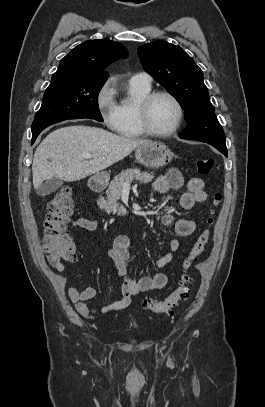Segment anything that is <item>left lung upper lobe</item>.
<instances>
[{
    "label": "left lung upper lobe",
    "instance_id": "1",
    "mask_svg": "<svg viewBox=\"0 0 265 407\" xmlns=\"http://www.w3.org/2000/svg\"><path fill=\"white\" fill-rule=\"evenodd\" d=\"M143 68L176 98L184 110L187 127L180 138L194 139L227 152L224 131L215 115L202 70L179 46L166 41L138 48Z\"/></svg>",
    "mask_w": 265,
    "mask_h": 407
}]
</instances>
